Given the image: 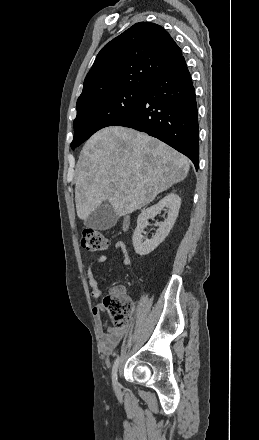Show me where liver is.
<instances>
[{"label": "liver", "instance_id": "6515ba94", "mask_svg": "<svg viewBox=\"0 0 259 440\" xmlns=\"http://www.w3.org/2000/svg\"><path fill=\"white\" fill-rule=\"evenodd\" d=\"M187 157L145 133L121 126L96 132L76 165L77 215L85 220L108 201L118 216L151 203L188 174Z\"/></svg>", "mask_w": 259, "mask_h": 440}]
</instances>
